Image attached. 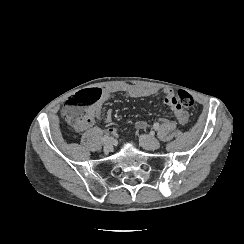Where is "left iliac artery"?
Wrapping results in <instances>:
<instances>
[{
	"label": "left iliac artery",
	"instance_id": "obj_1",
	"mask_svg": "<svg viewBox=\"0 0 244 244\" xmlns=\"http://www.w3.org/2000/svg\"><path fill=\"white\" fill-rule=\"evenodd\" d=\"M159 127H160L159 123H154V125H153L154 130L157 131L159 129Z\"/></svg>",
	"mask_w": 244,
	"mask_h": 244
}]
</instances>
